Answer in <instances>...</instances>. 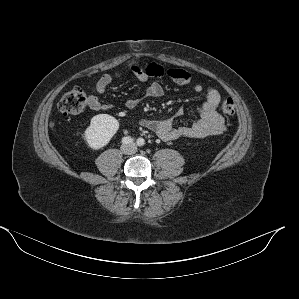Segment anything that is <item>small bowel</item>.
Listing matches in <instances>:
<instances>
[{"mask_svg":"<svg viewBox=\"0 0 299 299\" xmlns=\"http://www.w3.org/2000/svg\"><path fill=\"white\" fill-rule=\"evenodd\" d=\"M131 71L139 82H146L154 78H166L177 85L185 86L192 83V76L189 72L179 68H164L157 63H150L146 67L137 64L131 66ZM119 73L103 74L94 85L93 90L87 96V105L90 109L96 111H105L111 109V104L103 103L99 100L97 94L103 93L110 83ZM196 94H206V99L197 110L198 119L188 127L174 126L173 118L162 120L141 119L140 125L155 133L163 141H173L182 138H204L217 135L225 130V123L222 115L218 111L221 100L219 91L213 87L205 88L201 83H194L192 86ZM164 89L159 82H153L145 92V98H159L163 95ZM140 99H128L126 106L130 109L136 108ZM183 114L179 109L176 116Z\"/></svg>","mask_w":299,"mask_h":299,"instance_id":"c3829d8e","label":"small bowel"}]
</instances>
